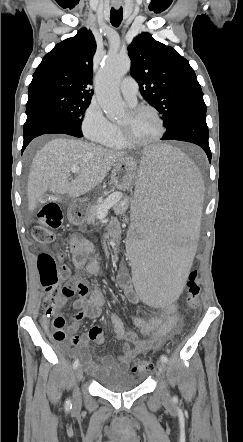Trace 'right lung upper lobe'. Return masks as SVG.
I'll use <instances>...</instances> for the list:
<instances>
[{"label": "right lung upper lobe", "instance_id": "right-lung-upper-lobe-1", "mask_svg": "<svg viewBox=\"0 0 243 442\" xmlns=\"http://www.w3.org/2000/svg\"><path fill=\"white\" fill-rule=\"evenodd\" d=\"M96 42L90 30L82 28L47 53L29 85L28 96L62 92L91 100L92 61Z\"/></svg>", "mask_w": 243, "mask_h": 442}]
</instances>
